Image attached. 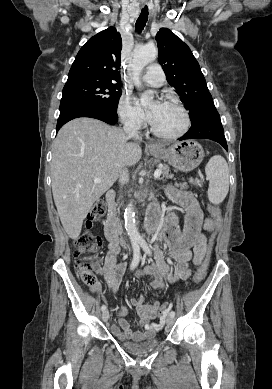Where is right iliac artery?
<instances>
[{"label":"right iliac artery","mask_w":272,"mask_h":389,"mask_svg":"<svg viewBox=\"0 0 272 389\" xmlns=\"http://www.w3.org/2000/svg\"><path fill=\"white\" fill-rule=\"evenodd\" d=\"M139 261H140V247H139V244L137 242H134L133 243V259H132V262L130 265V269L134 270L138 266ZM101 310L105 311L106 305H102Z\"/></svg>","instance_id":"82829eb1"}]
</instances>
